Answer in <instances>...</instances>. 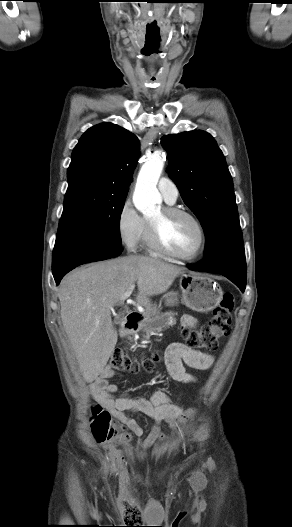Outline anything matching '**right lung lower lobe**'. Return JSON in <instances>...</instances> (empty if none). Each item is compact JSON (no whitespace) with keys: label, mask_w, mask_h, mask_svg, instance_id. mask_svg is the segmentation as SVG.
Returning a JSON list of instances; mask_svg holds the SVG:
<instances>
[{"label":"right lung lower lobe","mask_w":292,"mask_h":527,"mask_svg":"<svg viewBox=\"0 0 292 527\" xmlns=\"http://www.w3.org/2000/svg\"><path fill=\"white\" fill-rule=\"evenodd\" d=\"M123 249L106 238L63 234L57 235L53 250L52 273L58 285L63 276L75 267L89 262L116 257Z\"/></svg>","instance_id":"right-lung-lower-lobe-1"}]
</instances>
